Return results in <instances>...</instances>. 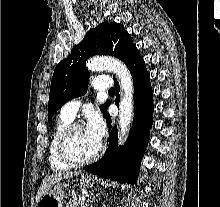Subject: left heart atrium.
Wrapping results in <instances>:
<instances>
[{"label":"left heart atrium","instance_id":"obj_1","mask_svg":"<svg viewBox=\"0 0 220 207\" xmlns=\"http://www.w3.org/2000/svg\"><path fill=\"white\" fill-rule=\"evenodd\" d=\"M85 129L95 140L101 142L106 132L105 122L101 115L97 112L91 113Z\"/></svg>","mask_w":220,"mask_h":207}]
</instances>
